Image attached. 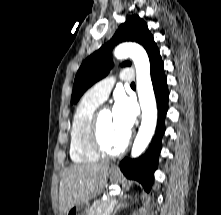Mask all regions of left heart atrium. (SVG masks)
<instances>
[{"instance_id": "left-heart-atrium-1", "label": "left heart atrium", "mask_w": 221, "mask_h": 215, "mask_svg": "<svg viewBox=\"0 0 221 215\" xmlns=\"http://www.w3.org/2000/svg\"><path fill=\"white\" fill-rule=\"evenodd\" d=\"M112 114L117 129L128 137L136 120V109L133 101L125 95H118Z\"/></svg>"}]
</instances>
